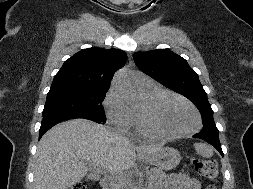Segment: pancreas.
<instances>
[{
  "mask_svg": "<svg viewBox=\"0 0 253 189\" xmlns=\"http://www.w3.org/2000/svg\"><path fill=\"white\" fill-rule=\"evenodd\" d=\"M167 175L161 169H152L150 172V181L154 186H160L167 182Z\"/></svg>",
  "mask_w": 253,
  "mask_h": 189,
  "instance_id": "cf45deb5",
  "label": "pancreas"
}]
</instances>
